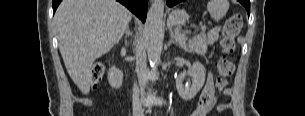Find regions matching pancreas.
Listing matches in <instances>:
<instances>
[{
  "mask_svg": "<svg viewBox=\"0 0 305 116\" xmlns=\"http://www.w3.org/2000/svg\"><path fill=\"white\" fill-rule=\"evenodd\" d=\"M209 43L210 40L206 37L205 33H200L193 37L191 40H189L187 44H182V46L189 53L204 55L206 53L207 46Z\"/></svg>",
  "mask_w": 305,
  "mask_h": 116,
  "instance_id": "obj_1",
  "label": "pancreas"
}]
</instances>
